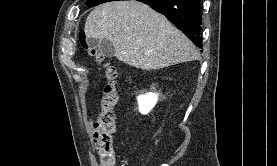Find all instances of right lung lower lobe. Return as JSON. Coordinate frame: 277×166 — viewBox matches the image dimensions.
<instances>
[{
    "instance_id": "98d812e1",
    "label": "right lung lower lobe",
    "mask_w": 277,
    "mask_h": 166,
    "mask_svg": "<svg viewBox=\"0 0 277 166\" xmlns=\"http://www.w3.org/2000/svg\"><path fill=\"white\" fill-rule=\"evenodd\" d=\"M115 1V0H112ZM163 14L195 45L201 47V0H137Z\"/></svg>"
}]
</instances>
